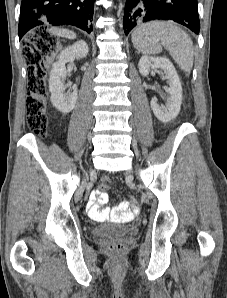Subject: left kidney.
I'll use <instances>...</instances> for the list:
<instances>
[{
	"mask_svg": "<svg viewBox=\"0 0 227 298\" xmlns=\"http://www.w3.org/2000/svg\"><path fill=\"white\" fill-rule=\"evenodd\" d=\"M139 72L143 76H147L151 70L161 69L168 77V93L169 99L165 106H160L155 98L151 99V108L154 115L163 123L170 122L180 112L182 103V86L179 76L171 63L165 57H141L138 63Z\"/></svg>",
	"mask_w": 227,
	"mask_h": 298,
	"instance_id": "left-kidney-1",
	"label": "left kidney"
}]
</instances>
